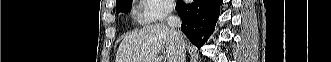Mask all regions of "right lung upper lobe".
Wrapping results in <instances>:
<instances>
[{"label": "right lung upper lobe", "mask_w": 331, "mask_h": 62, "mask_svg": "<svg viewBox=\"0 0 331 62\" xmlns=\"http://www.w3.org/2000/svg\"><path fill=\"white\" fill-rule=\"evenodd\" d=\"M120 1H121V0H117L116 3H117V2H120Z\"/></svg>", "instance_id": "right-lung-upper-lobe-1"}]
</instances>
